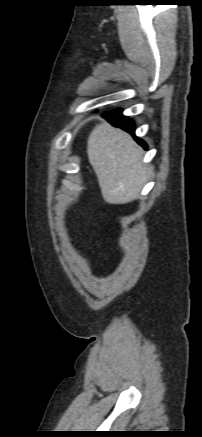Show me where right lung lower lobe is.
I'll use <instances>...</instances> for the list:
<instances>
[{
    "instance_id": "obj_1",
    "label": "right lung lower lobe",
    "mask_w": 202,
    "mask_h": 437,
    "mask_svg": "<svg viewBox=\"0 0 202 437\" xmlns=\"http://www.w3.org/2000/svg\"><path fill=\"white\" fill-rule=\"evenodd\" d=\"M104 117L115 127H119L131 134H134V122L128 117L122 115V109H116L104 114ZM137 142L142 145L145 149H147V145L141 139H136Z\"/></svg>"
}]
</instances>
